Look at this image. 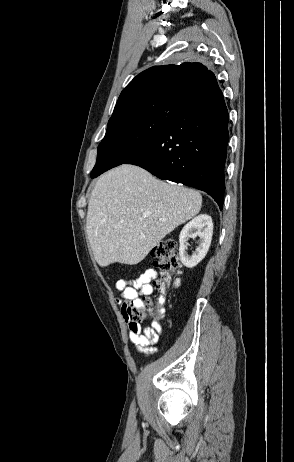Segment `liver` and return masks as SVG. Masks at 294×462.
<instances>
[{
  "instance_id": "liver-1",
  "label": "liver",
  "mask_w": 294,
  "mask_h": 462,
  "mask_svg": "<svg viewBox=\"0 0 294 462\" xmlns=\"http://www.w3.org/2000/svg\"><path fill=\"white\" fill-rule=\"evenodd\" d=\"M201 206L198 191L165 183L141 167L123 164L106 172L94 186L86 219L97 263L138 264Z\"/></svg>"
}]
</instances>
